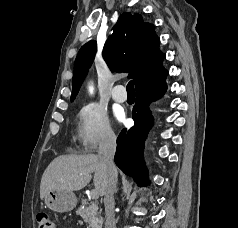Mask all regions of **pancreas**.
I'll return each instance as SVG.
<instances>
[{
    "label": "pancreas",
    "mask_w": 238,
    "mask_h": 228,
    "mask_svg": "<svg viewBox=\"0 0 238 228\" xmlns=\"http://www.w3.org/2000/svg\"><path fill=\"white\" fill-rule=\"evenodd\" d=\"M79 214L85 223L88 225L87 228H101V220L99 218L98 205L96 202H91L89 206H80L77 209Z\"/></svg>",
    "instance_id": "1"
}]
</instances>
